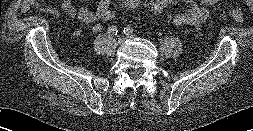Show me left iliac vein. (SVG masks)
<instances>
[{
  "mask_svg": "<svg viewBox=\"0 0 253 131\" xmlns=\"http://www.w3.org/2000/svg\"><path fill=\"white\" fill-rule=\"evenodd\" d=\"M127 37H128V38H131V37H133V34L127 35Z\"/></svg>",
  "mask_w": 253,
  "mask_h": 131,
  "instance_id": "obj_1",
  "label": "left iliac vein"
}]
</instances>
